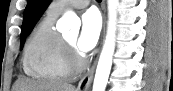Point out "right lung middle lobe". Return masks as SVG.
<instances>
[{"mask_svg": "<svg viewBox=\"0 0 173 91\" xmlns=\"http://www.w3.org/2000/svg\"><path fill=\"white\" fill-rule=\"evenodd\" d=\"M23 43H24V39H22V41H21V46H23Z\"/></svg>", "mask_w": 173, "mask_h": 91, "instance_id": "dd1d6c3e", "label": "right lung middle lobe"}]
</instances>
